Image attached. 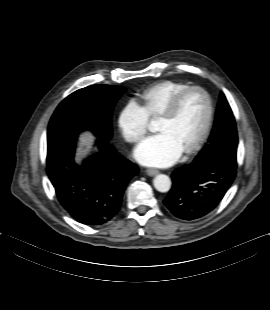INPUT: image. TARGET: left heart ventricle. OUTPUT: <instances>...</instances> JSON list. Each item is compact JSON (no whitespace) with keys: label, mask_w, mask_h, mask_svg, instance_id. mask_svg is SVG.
<instances>
[{"label":"left heart ventricle","mask_w":270,"mask_h":310,"mask_svg":"<svg viewBox=\"0 0 270 310\" xmlns=\"http://www.w3.org/2000/svg\"><path fill=\"white\" fill-rule=\"evenodd\" d=\"M207 103L201 92L186 94L176 114L169 120L159 118L156 129L164 132L183 151L198 137L205 123Z\"/></svg>","instance_id":"1"}]
</instances>
